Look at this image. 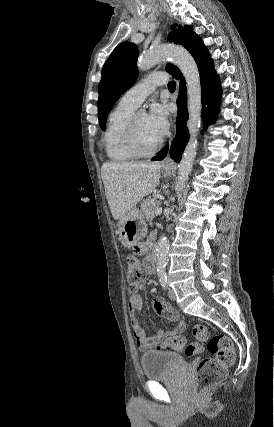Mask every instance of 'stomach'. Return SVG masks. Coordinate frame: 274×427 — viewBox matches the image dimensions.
Returning a JSON list of instances; mask_svg holds the SVG:
<instances>
[{"label":"stomach","mask_w":274,"mask_h":427,"mask_svg":"<svg viewBox=\"0 0 274 427\" xmlns=\"http://www.w3.org/2000/svg\"><path fill=\"white\" fill-rule=\"evenodd\" d=\"M167 176H171L172 172H165ZM119 239L125 247L136 245L147 231V223L144 215L140 214L139 210H131L124 217L119 219L118 223Z\"/></svg>","instance_id":"stomach-1"}]
</instances>
